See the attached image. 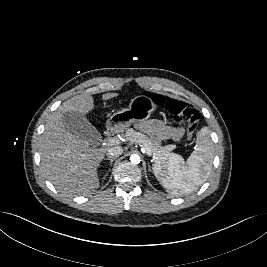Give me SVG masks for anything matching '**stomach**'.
I'll return each instance as SVG.
<instances>
[{
    "mask_svg": "<svg viewBox=\"0 0 267 267\" xmlns=\"http://www.w3.org/2000/svg\"><path fill=\"white\" fill-rule=\"evenodd\" d=\"M156 109V104L145 95L133 97L128 108L114 113L107 121V127L111 130L123 131L132 124L146 120Z\"/></svg>",
    "mask_w": 267,
    "mask_h": 267,
    "instance_id": "stomach-1",
    "label": "stomach"
}]
</instances>
